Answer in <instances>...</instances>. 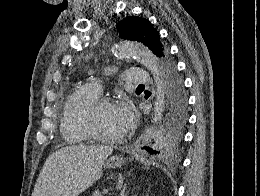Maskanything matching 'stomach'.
I'll return each mask as SVG.
<instances>
[{
    "label": "stomach",
    "instance_id": "0dacf381",
    "mask_svg": "<svg viewBox=\"0 0 260 196\" xmlns=\"http://www.w3.org/2000/svg\"><path fill=\"white\" fill-rule=\"evenodd\" d=\"M126 160H128V158H124V156H112V158L105 160L103 166L104 168H108V170H111V168H122Z\"/></svg>",
    "mask_w": 260,
    "mask_h": 196
}]
</instances>
